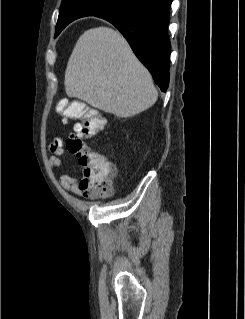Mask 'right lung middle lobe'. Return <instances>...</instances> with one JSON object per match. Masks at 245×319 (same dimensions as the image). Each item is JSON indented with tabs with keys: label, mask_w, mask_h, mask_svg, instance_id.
<instances>
[{
	"label": "right lung middle lobe",
	"mask_w": 245,
	"mask_h": 319,
	"mask_svg": "<svg viewBox=\"0 0 245 319\" xmlns=\"http://www.w3.org/2000/svg\"><path fill=\"white\" fill-rule=\"evenodd\" d=\"M125 0H84L80 1L79 5L83 7L90 15H97L103 11L114 8L117 5L123 3ZM63 9L61 5L60 10ZM59 18V17H58ZM63 29H56V34L60 33Z\"/></svg>",
	"instance_id": "1"
}]
</instances>
